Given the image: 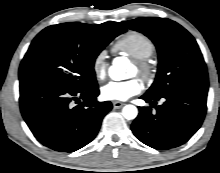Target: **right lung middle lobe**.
<instances>
[{"label": "right lung middle lobe", "instance_id": "right-lung-middle-lobe-1", "mask_svg": "<svg viewBox=\"0 0 220 173\" xmlns=\"http://www.w3.org/2000/svg\"><path fill=\"white\" fill-rule=\"evenodd\" d=\"M116 36L95 33L83 23L49 26L32 41L21 62L19 79L76 90L96 85L95 59Z\"/></svg>", "mask_w": 220, "mask_h": 173}]
</instances>
